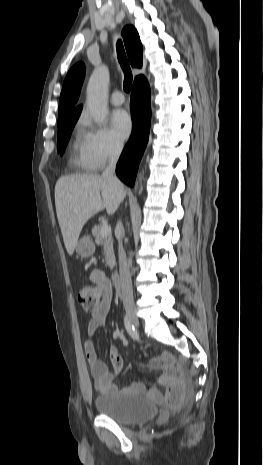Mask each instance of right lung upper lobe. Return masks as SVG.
Returning a JSON list of instances; mask_svg holds the SVG:
<instances>
[{
	"label": "right lung upper lobe",
	"instance_id": "right-lung-upper-lobe-1",
	"mask_svg": "<svg viewBox=\"0 0 263 465\" xmlns=\"http://www.w3.org/2000/svg\"><path fill=\"white\" fill-rule=\"evenodd\" d=\"M121 34L131 65L141 68L142 44L137 30L133 26H125ZM84 76L85 66L81 62L74 65L66 75L60 94L58 122L81 112L82 105L75 108L74 105L78 100Z\"/></svg>",
	"mask_w": 263,
	"mask_h": 465
}]
</instances>
